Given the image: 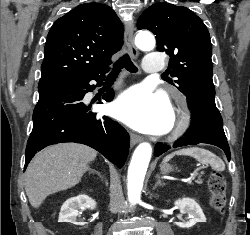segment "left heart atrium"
I'll list each match as a JSON object with an SVG mask.
<instances>
[{
  "instance_id": "left-heart-atrium-1",
  "label": "left heart atrium",
  "mask_w": 250,
  "mask_h": 235,
  "mask_svg": "<svg viewBox=\"0 0 250 235\" xmlns=\"http://www.w3.org/2000/svg\"><path fill=\"white\" fill-rule=\"evenodd\" d=\"M113 111L129 126L148 134L164 133L173 123V110L167 97L143 86L124 92L116 101Z\"/></svg>"
}]
</instances>
